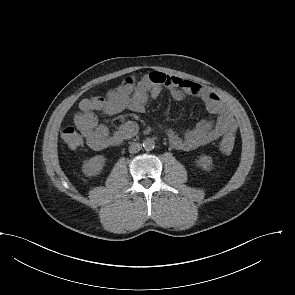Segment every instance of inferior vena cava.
Segmentation results:
<instances>
[{
	"label": "inferior vena cava",
	"mask_w": 295,
	"mask_h": 295,
	"mask_svg": "<svg viewBox=\"0 0 295 295\" xmlns=\"http://www.w3.org/2000/svg\"><path fill=\"white\" fill-rule=\"evenodd\" d=\"M141 149H142V146H141V144H139V143H135V142H133V143H131V145L129 146V152H130V153H137V152H139Z\"/></svg>",
	"instance_id": "602c4592"
}]
</instances>
